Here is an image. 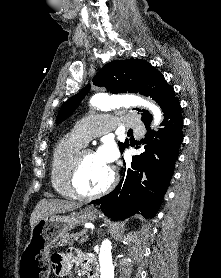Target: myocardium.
<instances>
[{"label":"myocardium","mask_w":221,"mask_h":278,"mask_svg":"<svg viewBox=\"0 0 221 278\" xmlns=\"http://www.w3.org/2000/svg\"><path fill=\"white\" fill-rule=\"evenodd\" d=\"M95 153L91 148L83 147L81 148L75 156L72 158L69 168H68V173H67V182L69 189L71 193L78 199L82 200H90L94 199L97 197H100L102 195H105L109 191H111L117 184L118 181V174L116 169L111 166V176L109 182L100 190L96 192H85L80 183H79V172L81 165L83 163V160L85 157L89 154Z\"/></svg>","instance_id":"obj_1"}]
</instances>
